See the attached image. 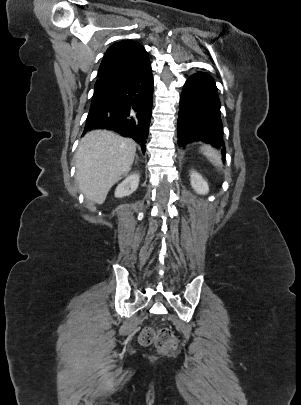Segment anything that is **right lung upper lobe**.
Returning <instances> with one entry per match:
<instances>
[{
  "label": "right lung upper lobe",
  "mask_w": 301,
  "mask_h": 405,
  "mask_svg": "<svg viewBox=\"0 0 301 405\" xmlns=\"http://www.w3.org/2000/svg\"><path fill=\"white\" fill-rule=\"evenodd\" d=\"M147 59L146 50L135 41L122 40L114 43L101 62L94 94H108L128 79Z\"/></svg>",
  "instance_id": "cb5924a9"
}]
</instances>
